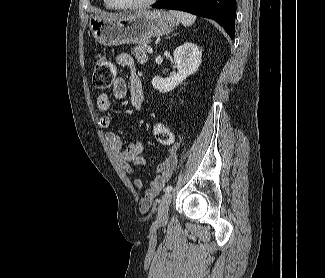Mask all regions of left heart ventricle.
<instances>
[{"mask_svg":"<svg viewBox=\"0 0 325 278\" xmlns=\"http://www.w3.org/2000/svg\"><path fill=\"white\" fill-rule=\"evenodd\" d=\"M118 1L125 4H135V3H141L146 0H118Z\"/></svg>","mask_w":325,"mask_h":278,"instance_id":"b2bd125f","label":"left heart ventricle"}]
</instances>
